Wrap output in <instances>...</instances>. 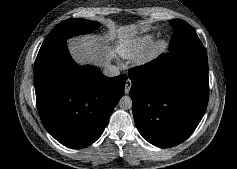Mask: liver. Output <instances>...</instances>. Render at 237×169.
<instances>
[{
    "label": "liver",
    "instance_id": "obj_1",
    "mask_svg": "<svg viewBox=\"0 0 237 169\" xmlns=\"http://www.w3.org/2000/svg\"><path fill=\"white\" fill-rule=\"evenodd\" d=\"M130 30L121 28L118 32L129 33ZM69 50L73 59L80 65L91 64L103 68L113 59L112 49L106 42L94 35H84L70 39Z\"/></svg>",
    "mask_w": 237,
    "mask_h": 169
}]
</instances>
